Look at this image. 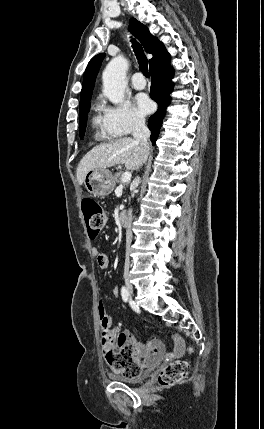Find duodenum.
<instances>
[{
  "label": "duodenum",
  "mask_w": 264,
  "mask_h": 429,
  "mask_svg": "<svg viewBox=\"0 0 264 429\" xmlns=\"http://www.w3.org/2000/svg\"><path fill=\"white\" fill-rule=\"evenodd\" d=\"M118 219H119V223L123 226H126L128 224V213L125 211H122L119 215H118Z\"/></svg>",
  "instance_id": "1"
}]
</instances>
